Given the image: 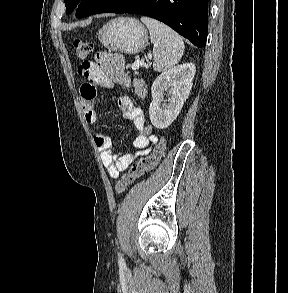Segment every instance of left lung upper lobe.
<instances>
[{
	"instance_id": "1",
	"label": "left lung upper lobe",
	"mask_w": 288,
	"mask_h": 293,
	"mask_svg": "<svg viewBox=\"0 0 288 293\" xmlns=\"http://www.w3.org/2000/svg\"><path fill=\"white\" fill-rule=\"evenodd\" d=\"M118 1L119 0H64L67 14H70L78 7L76 14L78 18L101 13Z\"/></svg>"
}]
</instances>
